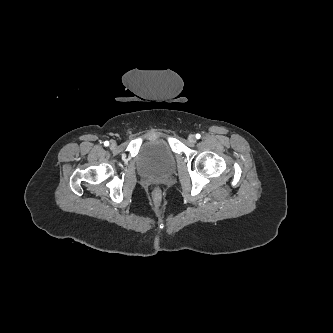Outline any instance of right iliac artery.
<instances>
[{"label": "right iliac artery", "mask_w": 333, "mask_h": 333, "mask_svg": "<svg viewBox=\"0 0 333 333\" xmlns=\"http://www.w3.org/2000/svg\"><path fill=\"white\" fill-rule=\"evenodd\" d=\"M104 145H105V146H109V142H108V141H105V142H104Z\"/></svg>", "instance_id": "obj_1"}]
</instances>
